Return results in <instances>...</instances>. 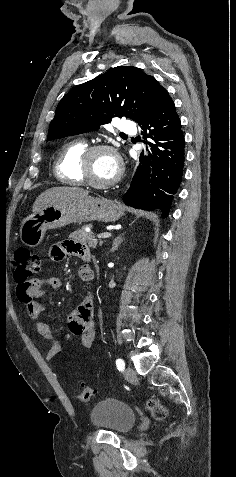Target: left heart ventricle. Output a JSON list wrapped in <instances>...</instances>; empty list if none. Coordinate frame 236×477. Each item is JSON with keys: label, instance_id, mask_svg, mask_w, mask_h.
Returning a JSON list of instances; mask_svg holds the SVG:
<instances>
[{"label": "left heart ventricle", "instance_id": "b2bd125f", "mask_svg": "<svg viewBox=\"0 0 236 477\" xmlns=\"http://www.w3.org/2000/svg\"><path fill=\"white\" fill-rule=\"evenodd\" d=\"M90 176L98 182H106L113 179L119 169L118 161L108 151L96 153L90 160Z\"/></svg>", "mask_w": 236, "mask_h": 477}]
</instances>
